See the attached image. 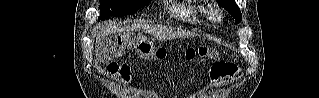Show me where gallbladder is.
I'll list each match as a JSON object with an SVG mask.
<instances>
[{
  "instance_id": "1",
  "label": "gallbladder",
  "mask_w": 319,
  "mask_h": 98,
  "mask_svg": "<svg viewBox=\"0 0 319 98\" xmlns=\"http://www.w3.org/2000/svg\"><path fill=\"white\" fill-rule=\"evenodd\" d=\"M96 55H99L102 60H105L107 62L113 57V50L109 48L106 51H104L103 48H99L96 49Z\"/></svg>"
}]
</instances>
